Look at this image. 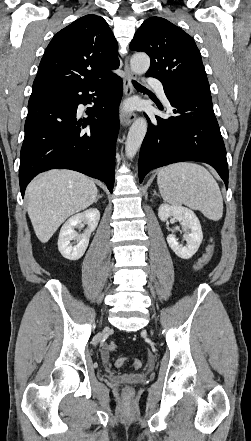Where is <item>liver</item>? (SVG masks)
<instances>
[{"instance_id": "1", "label": "liver", "mask_w": 251, "mask_h": 441, "mask_svg": "<svg viewBox=\"0 0 251 441\" xmlns=\"http://www.w3.org/2000/svg\"><path fill=\"white\" fill-rule=\"evenodd\" d=\"M95 183L70 170H51L27 187L28 215L37 238L46 243L71 215L92 205L97 197Z\"/></svg>"}]
</instances>
